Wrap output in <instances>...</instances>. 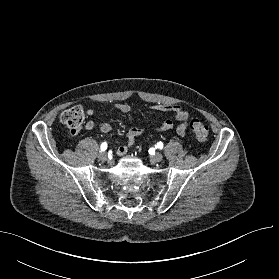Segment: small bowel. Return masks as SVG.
Returning <instances> with one entry per match:
<instances>
[{
    "instance_id": "obj_1",
    "label": "small bowel",
    "mask_w": 279,
    "mask_h": 279,
    "mask_svg": "<svg viewBox=\"0 0 279 279\" xmlns=\"http://www.w3.org/2000/svg\"><path fill=\"white\" fill-rule=\"evenodd\" d=\"M117 109L122 113H128L131 110V107L127 103H121L118 104ZM154 111H161V112H170L174 118L178 121H180V124L177 126L176 131L179 136L184 137L188 128L189 124V112L186 110L185 107L179 104H173V105H166V104H155L151 107ZM94 109H88L87 115L89 117H92L95 115ZM98 127L99 130L104 133L108 134L111 131V125L107 122H100L96 123L92 120H89L85 124V129L92 130L94 128ZM173 128V122L171 120H165L160 125L156 127V131L158 132H166ZM144 133V129L139 126H133L131 127L127 134H126V142L122 145H120L117 148V155L123 156L127 153L128 149L131 148L134 143L135 139L139 136H141Z\"/></svg>"
}]
</instances>
